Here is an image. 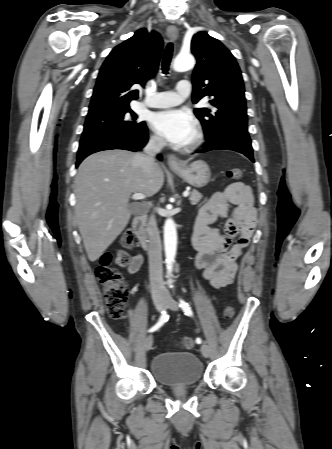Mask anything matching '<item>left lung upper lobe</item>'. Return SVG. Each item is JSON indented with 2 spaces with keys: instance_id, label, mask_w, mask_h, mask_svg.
<instances>
[{
  "instance_id": "obj_1",
  "label": "left lung upper lobe",
  "mask_w": 332,
  "mask_h": 449,
  "mask_svg": "<svg viewBox=\"0 0 332 449\" xmlns=\"http://www.w3.org/2000/svg\"><path fill=\"white\" fill-rule=\"evenodd\" d=\"M191 50L197 59L192 75V101L211 97V108L194 110L205 137L210 139L233 128L247 130L244 83L235 57L206 32L193 36Z\"/></svg>"
}]
</instances>
